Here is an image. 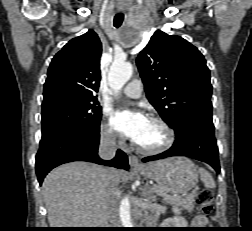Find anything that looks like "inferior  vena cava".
<instances>
[{
	"label": "inferior vena cava",
	"mask_w": 252,
	"mask_h": 231,
	"mask_svg": "<svg viewBox=\"0 0 252 231\" xmlns=\"http://www.w3.org/2000/svg\"><path fill=\"white\" fill-rule=\"evenodd\" d=\"M116 150L115 136L109 132L101 134L99 156L105 160H110L115 156ZM109 171L112 172L114 169H109ZM118 194L119 190L117 183L112 175H109L107 211L112 228L121 227V220L118 210Z\"/></svg>",
	"instance_id": "1"
}]
</instances>
